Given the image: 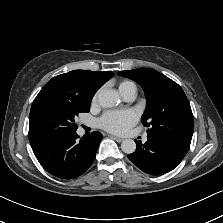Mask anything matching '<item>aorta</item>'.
<instances>
[{
    "label": "aorta",
    "mask_w": 223,
    "mask_h": 223,
    "mask_svg": "<svg viewBox=\"0 0 223 223\" xmlns=\"http://www.w3.org/2000/svg\"><path fill=\"white\" fill-rule=\"evenodd\" d=\"M97 100L104 108H111L116 105L119 100L117 92L113 90L101 89L97 93ZM121 149L126 154H131L136 150V143L132 139L123 140Z\"/></svg>",
    "instance_id": "obj_1"
}]
</instances>
